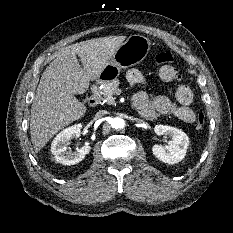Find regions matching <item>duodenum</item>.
Masks as SVG:
<instances>
[{"instance_id": "410a0bca", "label": "duodenum", "mask_w": 233, "mask_h": 233, "mask_svg": "<svg viewBox=\"0 0 233 233\" xmlns=\"http://www.w3.org/2000/svg\"><path fill=\"white\" fill-rule=\"evenodd\" d=\"M103 79H105L104 76H102L101 79L91 88V95L88 98V104L92 107L96 106L99 102V85L103 82Z\"/></svg>"}]
</instances>
